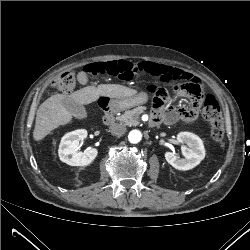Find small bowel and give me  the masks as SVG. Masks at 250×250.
Wrapping results in <instances>:
<instances>
[{"label": "small bowel", "mask_w": 250, "mask_h": 250, "mask_svg": "<svg viewBox=\"0 0 250 250\" xmlns=\"http://www.w3.org/2000/svg\"><path fill=\"white\" fill-rule=\"evenodd\" d=\"M136 66L166 80L176 81V89L182 95H190V92L193 90L198 91L197 96L202 97L204 94V85L200 79L184 70L154 61H144L137 63ZM78 80L81 84H85L87 82L86 74L80 72L78 74ZM200 106L201 102L196 98L184 106L176 108L169 104L168 92L165 89H160L159 97L155 98L154 101L153 117L157 118L159 121L165 122L166 124H173L179 118L187 123H193Z\"/></svg>", "instance_id": "c3829d8e"}]
</instances>
